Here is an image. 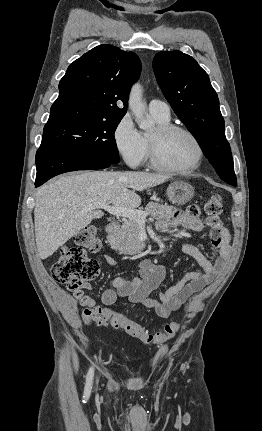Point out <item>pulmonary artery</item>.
Instances as JSON below:
<instances>
[{
	"instance_id": "pulmonary-artery-1",
	"label": "pulmonary artery",
	"mask_w": 262,
	"mask_h": 431,
	"mask_svg": "<svg viewBox=\"0 0 262 431\" xmlns=\"http://www.w3.org/2000/svg\"><path fill=\"white\" fill-rule=\"evenodd\" d=\"M150 113L163 117V118H169L170 117V109L166 102L153 99L149 102L148 105Z\"/></svg>"
}]
</instances>
